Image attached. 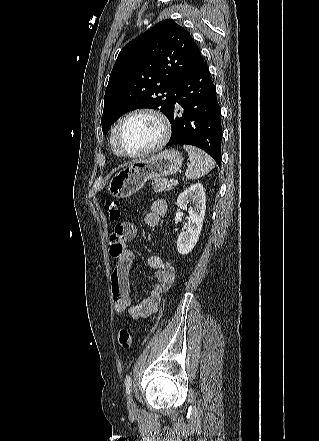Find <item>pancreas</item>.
I'll return each instance as SVG.
<instances>
[{"label": "pancreas", "mask_w": 319, "mask_h": 441, "mask_svg": "<svg viewBox=\"0 0 319 441\" xmlns=\"http://www.w3.org/2000/svg\"><path fill=\"white\" fill-rule=\"evenodd\" d=\"M152 188L154 190V192L156 193H160V192H166V191H171L174 186L171 184V182L168 179H156L153 183H152Z\"/></svg>", "instance_id": "1"}]
</instances>
